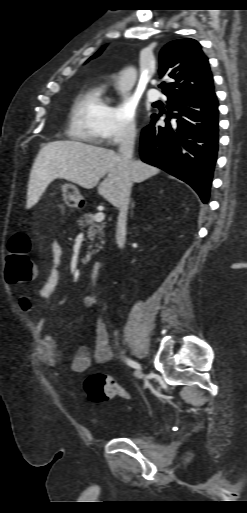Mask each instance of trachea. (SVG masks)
<instances>
[{
	"label": "trachea",
	"mask_w": 247,
	"mask_h": 513,
	"mask_svg": "<svg viewBox=\"0 0 247 513\" xmlns=\"http://www.w3.org/2000/svg\"><path fill=\"white\" fill-rule=\"evenodd\" d=\"M159 87L162 88V87H164V85H160Z\"/></svg>",
	"instance_id": "obj_1"
}]
</instances>
